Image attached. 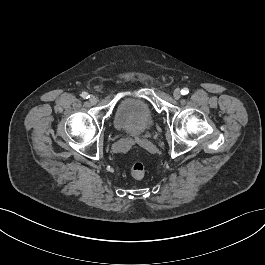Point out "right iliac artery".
Segmentation results:
<instances>
[{"instance_id": "1", "label": "right iliac artery", "mask_w": 265, "mask_h": 265, "mask_svg": "<svg viewBox=\"0 0 265 265\" xmlns=\"http://www.w3.org/2000/svg\"><path fill=\"white\" fill-rule=\"evenodd\" d=\"M81 96H82V98H84V99H88V98L90 97V95H89L87 92H83V93L81 94Z\"/></svg>"}]
</instances>
